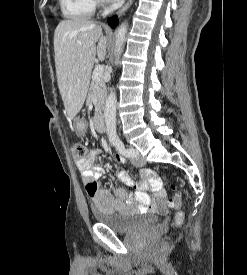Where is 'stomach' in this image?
Wrapping results in <instances>:
<instances>
[{"label":"stomach","instance_id":"1","mask_svg":"<svg viewBox=\"0 0 247 275\" xmlns=\"http://www.w3.org/2000/svg\"><path fill=\"white\" fill-rule=\"evenodd\" d=\"M74 126L77 129L78 132L83 133L86 130V124L84 121L80 119H75Z\"/></svg>","mask_w":247,"mask_h":275}]
</instances>
